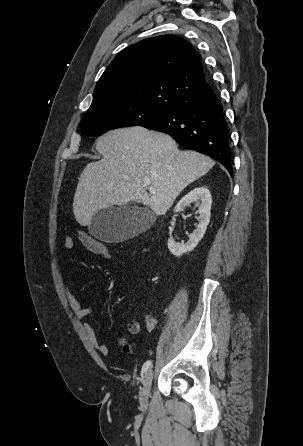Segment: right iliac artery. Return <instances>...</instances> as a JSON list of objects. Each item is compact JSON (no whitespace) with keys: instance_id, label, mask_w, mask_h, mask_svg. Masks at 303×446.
Wrapping results in <instances>:
<instances>
[{"instance_id":"right-iliac-artery-1","label":"right iliac artery","mask_w":303,"mask_h":446,"mask_svg":"<svg viewBox=\"0 0 303 446\" xmlns=\"http://www.w3.org/2000/svg\"><path fill=\"white\" fill-rule=\"evenodd\" d=\"M152 365V361L148 360L144 363L143 367H142V372L145 373Z\"/></svg>"}]
</instances>
